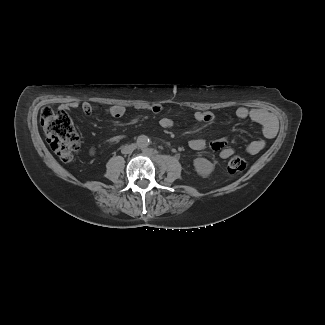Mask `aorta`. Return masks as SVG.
Here are the masks:
<instances>
[{"instance_id": "obj_1", "label": "aorta", "mask_w": 325, "mask_h": 325, "mask_svg": "<svg viewBox=\"0 0 325 325\" xmlns=\"http://www.w3.org/2000/svg\"><path fill=\"white\" fill-rule=\"evenodd\" d=\"M136 144L140 149H144L150 145V139L146 135H140Z\"/></svg>"}]
</instances>
